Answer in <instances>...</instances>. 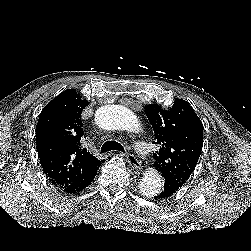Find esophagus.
I'll return each mask as SVG.
<instances>
[{
    "mask_svg": "<svg viewBox=\"0 0 251 251\" xmlns=\"http://www.w3.org/2000/svg\"><path fill=\"white\" fill-rule=\"evenodd\" d=\"M119 154H121L120 152H118ZM127 157V160H128V163L129 165L136 169V170H140V167H141V160L134 154H131V153H128L126 155Z\"/></svg>",
    "mask_w": 251,
    "mask_h": 251,
    "instance_id": "esophagus-1",
    "label": "esophagus"
}]
</instances>
